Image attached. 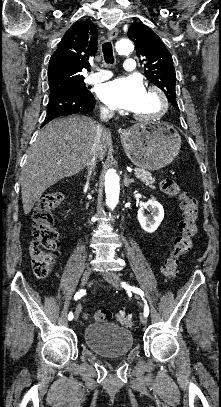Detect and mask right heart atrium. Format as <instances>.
<instances>
[{"label": "right heart atrium", "instance_id": "obj_1", "mask_svg": "<svg viewBox=\"0 0 221 407\" xmlns=\"http://www.w3.org/2000/svg\"><path fill=\"white\" fill-rule=\"evenodd\" d=\"M101 110H102L103 112H105V113L110 112V108H108L107 106H102V107H101Z\"/></svg>", "mask_w": 221, "mask_h": 407}]
</instances>
